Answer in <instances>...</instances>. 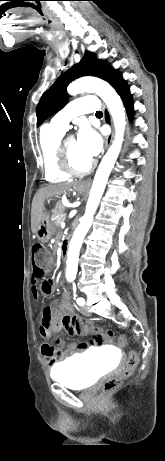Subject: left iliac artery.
<instances>
[{
    "label": "left iliac artery",
    "instance_id": "obj_1",
    "mask_svg": "<svg viewBox=\"0 0 165 461\" xmlns=\"http://www.w3.org/2000/svg\"><path fill=\"white\" fill-rule=\"evenodd\" d=\"M77 304L80 306H83L85 304V300L83 298H78L77 299Z\"/></svg>",
    "mask_w": 165,
    "mask_h": 461
}]
</instances>
